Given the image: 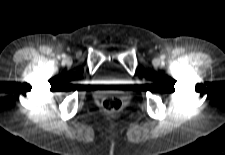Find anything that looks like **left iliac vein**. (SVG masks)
Returning <instances> with one entry per match:
<instances>
[{
  "mask_svg": "<svg viewBox=\"0 0 225 155\" xmlns=\"http://www.w3.org/2000/svg\"><path fill=\"white\" fill-rule=\"evenodd\" d=\"M154 63H155V64H159L160 61H159L158 59H156V60L154 61Z\"/></svg>",
  "mask_w": 225,
  "mask_h": 155,
  "instance_id": "1",
  "label": "left iliac vein"
}]
</instances>
